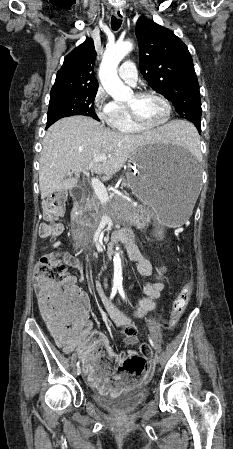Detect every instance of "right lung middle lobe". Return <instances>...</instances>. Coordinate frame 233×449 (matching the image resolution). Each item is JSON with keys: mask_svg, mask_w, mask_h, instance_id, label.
<instances>
[{"mask_svg": "<svg viewBox=\"0 0 233 449\" xmlns=\"http://www.w3.org/2000/svg\"><path fill=\"white\" fill-rule=\"evenodd\" d=\"M97 90L59 92L50 95L47 127L58 119L72 115H86L99 120L94 110Z\"/></svg>", "mask_w": 233, "mask_h": 449, "instance_id": "obj_1", "label": "right lung middle lobe"}]
</instances>
